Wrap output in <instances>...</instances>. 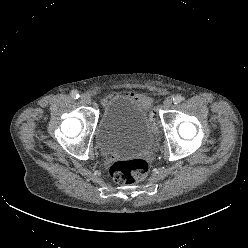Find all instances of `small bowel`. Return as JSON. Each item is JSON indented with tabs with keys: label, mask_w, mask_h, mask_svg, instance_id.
<instances>
[{
	"label": "small bowel",
	"mask_w": 248,
	"mask_h": 248,
	"mask_svg": "<svg viewBox=\"0 0 248 248\" xmlns=\"http://www.w3.org/2000/svg\"><path fill=\"white\" fill-rule=\"evenodd\" d=\"M131 96H133L137 101H140V102H143V103H146V104H149V99L145 96H141V95H134V94H131Z\"/></svg>",
	"instance_id": "small-bowel-1"
}]
</instances>
